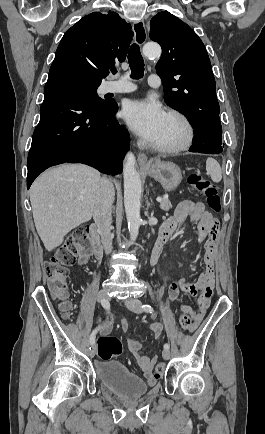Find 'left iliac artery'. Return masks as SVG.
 Listing matches in <instances>:
<instances>
[{
    "label": "left iliac artery",
    "instance_id": "obj_1",
    "mask_svg": "<svg viewBox=\"0 0 265 434\" xmlns=\"http://www.w3.org/2000/svg\"><path fill=\"white\" fill-rule=\"evenodd\" d=\"M142 309L146 312H149V313L153 312V308L148 304L142 305ZM169 348H170V345L168 343L164 344V349H169Z\"/></svg>",
    "mask_w": 265,
    "mask_h": 434
}]
</instances>
